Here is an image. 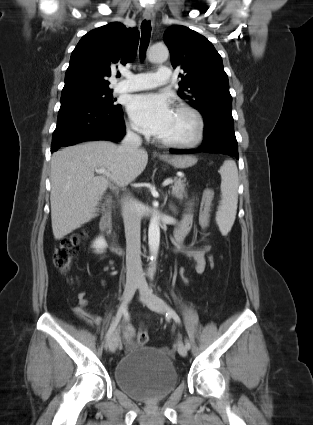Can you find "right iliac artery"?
<instances>
[{"label": "right iliac artery", "instance_id": "82829eb1", "mask_svg": "<svg viewBox=\"0 0 313 425\" xmlns=\"http://www.w3.org/2000/svg\"><path fill=\"white\" fill-rule=\"evenodd\" d=\"M125 311H126V305L122 304L121 307L119 308L115 318H114V321L112 322V324H111V326H110V328H109V330L106 334L105 347L108 346V341L110 340L111 335L113 334L114 330L116 329V327H117L122 315L125 313Z\"/></svg>", "mask_w": 313, "mask_h": 425}]
</instances>
